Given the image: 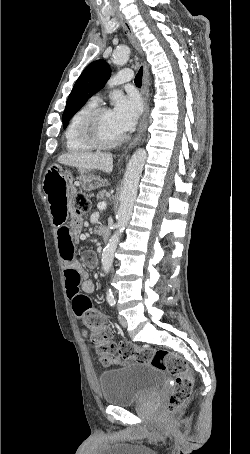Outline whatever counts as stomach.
Masks as SVG:
<instances>
[{
	"label": "stomach",
	"instance_id": "1",
	"mask_svg": "<svg viewBox=\"0 0 250 454\" xmlns=\"http://www.w3.org/2000/svg\"><path fill=\"white\" fill-rule=\"evenodd\" d=\"M80 172L82 174V181L85 185V188L94 189L100 186V179L90 174L88 169H80ZM44 176H71V173L68 171L63 172L60 165L54 164L49 167Z\"/></svg>",
	"mask_w": 250,
	"mask_h": 454
}]
</instances>
